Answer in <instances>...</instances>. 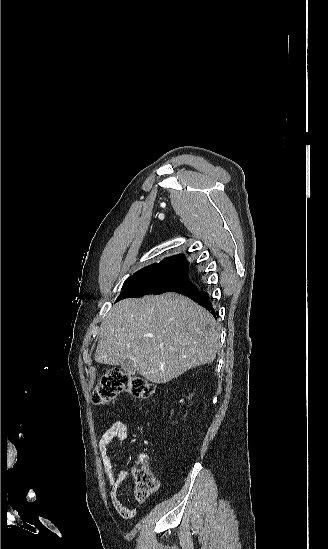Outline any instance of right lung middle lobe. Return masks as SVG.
<instances>
[{"label": "right lung middle lobe", "instance_id": "dd1d6c3e", "mask_svg": "<svg viewBox=\"0 0 328 549\" xmlns=\"http://www.w3.org/2000/svg\"><path fill=\"white\" fill-rule=\"evenodd\" d=\"M197 288L188 280L187 273L161 270H141L127 278L117 301L146 294L165 292L183 293Z\"/></svg>", "mask_w": 328, "mask_h": 549}]
</instances>
